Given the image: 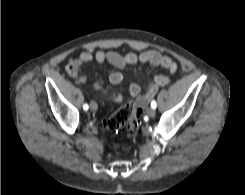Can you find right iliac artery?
I'll return each instance as SVG.
<instances>
[{
  "mask_svg": "<svg viewBox=\"0 0 245 195\" xmlns=\"http://www.w3.org/2000/svg\"><path fill=\"white\" fill-rule=\"evenodd\" d=\"M83 109H84L85 111H87V110L89 109L88 104H84V105H83Z\"/></svg>",
  "mask_w": 245,
  "mask_h": 195,
  "instance_id": "1",
  "label": "right iliac artery"
}]
</instances>
